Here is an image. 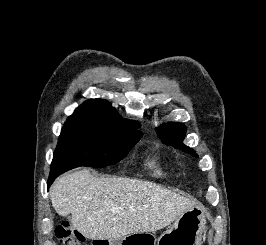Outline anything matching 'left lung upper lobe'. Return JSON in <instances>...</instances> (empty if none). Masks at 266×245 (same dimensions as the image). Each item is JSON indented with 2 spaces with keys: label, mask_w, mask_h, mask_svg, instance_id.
I'll use <instances>...</instances> for the list:
<instances>
[{
  "label": "left lung upper lobe",
  "mask_w": 266,
  "mask_h": 245,
  "mask_svg": "<svg viewBox=\"0 0 266 245\" xmlns=\"http://www.w3.org/2000/svg\"><path fill=\"white\" fill-rule=\"evenodd\" d=\"M156 131L163 143L172 145L192 156L198 157L194 150L183 144V139L186 133V127L183 124L167 123L158 127Z\"/></svg>",
  "instance_id": "obj_1"
}]
</instances>
